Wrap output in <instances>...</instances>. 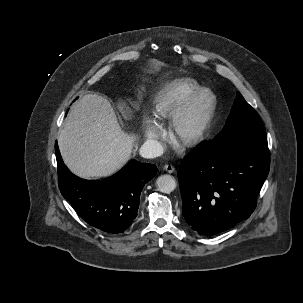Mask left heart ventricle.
Segmentation results:
<instances>
[{"label": "left heart ventricle", "mask_w": 303, "mask_h": 303, "mask_svg": "<svg viewBox=\"0 0 303 303\" xmlns=\"http://www.w3.org/2000/svg\"><path fill=\"white\" fill-rule=\"evenodd\" d=\"M208 103H209V97L208 96H204L199 101L195 110L193 111V113L190 115V117L187 119V121L185 123V129L186 130H191L198 124V122L202 118V116H203V114H204V112L207 108Z\"/></svg>", "instance_id": "obj_1"}]
</instances>
